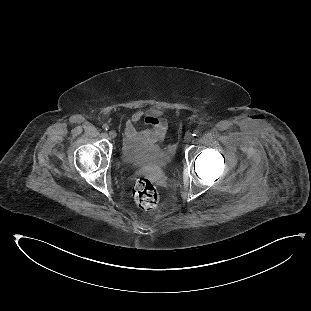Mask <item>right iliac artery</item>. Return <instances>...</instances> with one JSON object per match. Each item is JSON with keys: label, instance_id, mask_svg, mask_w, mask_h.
Returning a JSON list of instances; mask_svg holds the SVG:
<instances>
[{"label": "right iliac artery", "instance_id": "right-iliac-artery-1", "mask_svg": "<svg viewBox=\"0 0 311 311\" xmlns=\"http://www.w3.org/2000/svg\"><path fill=\"white\" fill-rule=\"evenodd\" d=\"M102 127H103L104 130H108L109 129V126L107 124H104Z\"/></svg>", "mask_w": 311, "mask_h": 311}]
</instances>
